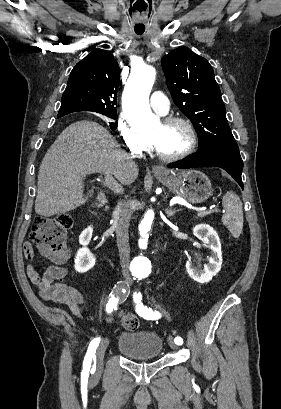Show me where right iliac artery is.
Returning <instances> with one entry per match:
<instances>
[{
	"label": "right iliac artery",
	"instance_id": "82829eb1",
	"mask_svg": "<svg viewBox=\"0 0 281 409\" xmlns=\"http://www.w3.org/2000/svg\"><path fill=\"white\" fill-rule=\"evenodd\" d=\"M110 299L106 305V311L108 313H111L113 309L116 308L118 303L124 302L128 295H129V289L128 286H126L124 283L119 282L116 284L113 292L110 294ZM100 343V338H95L92 340L88 347L87 354L84 358V363H83V371H82V377L87 378L89 375V370L91 367V362L92 359L95 357V352Z\"/></svg>",
	"mask_w": 281,
	"mask_h": 409
}]
</instances>
